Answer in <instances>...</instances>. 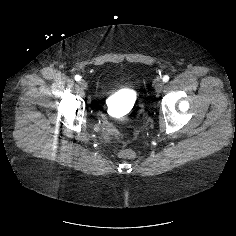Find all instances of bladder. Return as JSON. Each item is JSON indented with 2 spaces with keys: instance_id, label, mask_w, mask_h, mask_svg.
I'll return each instance as SVG.
<instances>
[{
  "instance_id": "1",
  "label": "bladder",
  "mask_w": 236,
  "mask_h": 236,
  "mask_svg": "<svg viewBox=\"0 0 236 236\" xmlns=\"http://www.w3.org/2000/svg\"><path fill=\"white\" fill-rule=\"evenodd\" d=\"M136 92L130 88L119 89L107 98V109L116 112L123 108L131 106L136 101Z\"/></svg>"
}]
</instances>
